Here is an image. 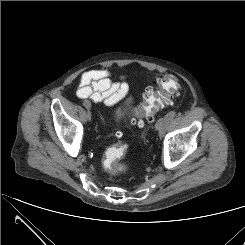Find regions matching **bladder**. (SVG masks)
Returning a JSON list of instances; mask_svg holds the SVG:
<instances>
[{"label": "bladder", "instance_id": "bladder-1", "mask_svg": "<svg viewBox=\"0 0 245 245\" xmlns=\"http://www.w3.org/2000/svg\"><path fill=\"white\" fill-rule=\"evenodd\" d=\"M127 107L125 105L119 106L117 109L114 111V118L116 120H120L126 116V109Z\"/></svg>", "mask_w": 245, "mask_h": 245}]
</instances>
